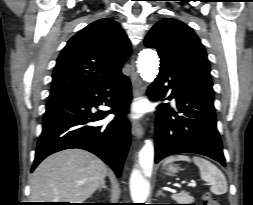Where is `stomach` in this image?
I'll return each mask as SVG.
<instances>
[{
  "label": "stomach",
  "mask_w": 253,
  "mask_h": 205,
  "mask_svg": "<svg viewBox=\"0 0 253 205\" xmlns=\"http://www.w3.org/2000/svg\"><path fill=\"white\" fill-rule=\"evenodd\" d=\"M168 171L171 172V173H175L178 171V167L176 165H170L168 167Z\"/></svg>",
  "instance_id": "0dacf381"
}]
</instances>
